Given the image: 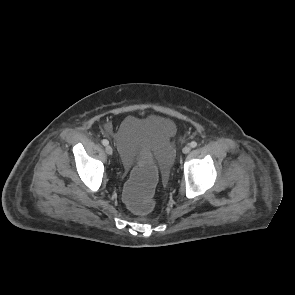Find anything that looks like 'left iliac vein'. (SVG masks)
Here are the masks:
<instances>
[{
  "label": "left iliac vein",
  "instance_id": "4c4485c4",
  "mask_svg": "<svg viewBox=\"0 0 295 295\" xmlns=\"http://www.w3.org/2000/svg\"><path fill=\"white\" fill-rule=\"evenodd\" d=\"M190 150H191V147H190L189 145H186V146L183 148L182 152H183L184 154H188V153L190 152Z\"/></svg>",
  "mask_w": 295,
  "mask_h": 295
}]
</instances>
